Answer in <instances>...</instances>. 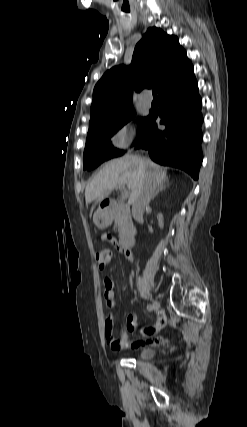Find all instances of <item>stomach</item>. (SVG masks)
Masks as SVG:
<instances>
[{
	"label": "stomach",
	"mask_w": 247,
	"mask_h": 427,
	"mask_svg": "<svg viewBox=\"0 0 247 427\" xmlns=\"http://www.w3.org/2000/svg\"><path fill=\"white\" fill-rule=\"evenodd\" d=\"M95 225L98 228H106L112 223V215L109 211L105 209H99L95 212L93 216Z\"/></svg>",
	"instance_id": "1"
}]
</instances>
